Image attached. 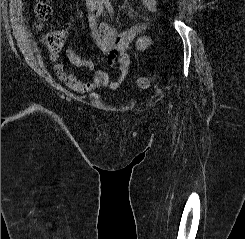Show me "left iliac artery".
I'll return each instance as SVG.
<instances>
[{"mask_svg": "<svg viewBox=\"0 0 245 239\" xmlns=\"http://www.w3.org/2000/svg\"><path fill=\"white\" fill-rule=\"evenodd\" d=\"M105 7L110 14L114 15V9H113L112 4L109 2V0L105 1Z\"/></svg>", "mask_w": 245, "mask_h": 239, "instance_id": "1", "label": "left iliac artery"}]
</instances>
